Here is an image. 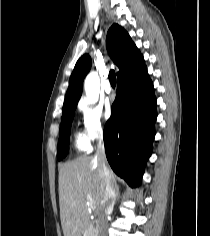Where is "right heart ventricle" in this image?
<instances>
[{"mask_svg": "<svg viewBox=\"0 0 210 236\" xmlns=\"http://www.w3.org/2000/svg\"><path fill=\"white\" fill-rule=\"evenodd\" d=\"M73 145L79 152H86L90 149V144L80 132H75L73 137Z\"/></svg>", "mask_w": 210, "mask_h": 236, "instance_id": "e07e8e85", "label": "right heart ventricle"}]
</instances>
